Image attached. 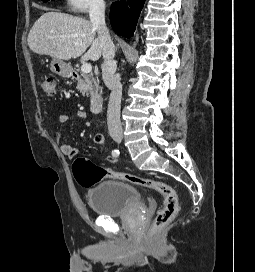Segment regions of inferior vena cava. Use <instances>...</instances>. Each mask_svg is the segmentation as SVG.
Instances as JSON below:
<instances>
[{"mask_svg": "<svg viewBox=\"0 0 255 272\" xmlns=\"http://www.w3.org/2000/svg\"><path fill=\"white\" fill-rule=\"evenodd\" d=\"M89 15L93 27L98 32V38L103 50L102 78L105 85L111 90L107 110L108 130L110 135L122 134L123 130L120 121L122 85L120 79L115 76L117 68L114 60L115 46L105 23V3L103 1L97 2L90 10Z\"/></svg>", "mask_w": 255, "mask_h": 272, "instance_id": "1", "label": "inferior vena cava"}]
</instances>
